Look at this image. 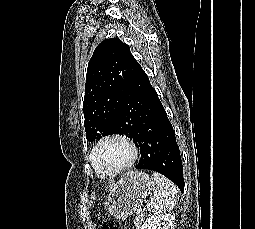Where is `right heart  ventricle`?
<instances>
[{"mask_svg":"<svg viewBox=\"0 0 255 229\" xmlns=\"http://www.w3.org/2000/svg\"><path fill=\"white\" fill-rule=\"evenodd\" d=\"M90 163H91V165H92V168H93L94 172H95L99 177L105 178V177H108V176H109L101 167H99L98 165L93 164L91 161H90Z\"/></svg>","mask_w":255,"mask_h":229,"instance_id":"1","label":"right heart ventricle"}]
</instances>
